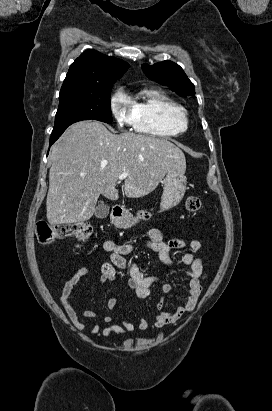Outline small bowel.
Instances as JSON below:
<instances>
[{
  "mask_svg": "<svg viewBox=\"0 0 272 411\" xmlns=\"http://www.w3.org/2000/svg\"><path fill=\"white\" fill-rule=\"evenodd\" d=\"M148 241L144 244L146 249L154 251L158 254L159 259L167 266L168 269L174 267V262L171 258V251H184L183 256L179 261V265L185 267V276L189 280L188 297L184 305L175 308L172 311L163 310V296L169 293L170 285L161 277L144 275L138 265L134 261H128L126 256L131 254L136 246L132 243L117 244L114 241L107 240L103 243V249L110 254V261L106 262L101 267V275L99 281L102 284L114 282L120 278H124L137 298L149 297L155 286H158L162 298L156 305L158 314L153 318L152 325L154 328H161L167 324L174 323L179 320L185 313L195 309L203 290V282L206 278V272L202 259L198 256V251L202 248V243L199 240L183 241L180 239H172L166 241L161 230L151 228L147 232ZM122 270L126 271L125 274ZM91 273V268L81 267L72 277L65 283L61 293V303L74 327L78 330H85L89 334L101 333L107 338L112 334L126 335L136 330L146 331L150 323L144 317H140L137 324L129 321L113 322V317L105 315L102 321L107 324L106 327L101 326L96 322L81 321L69 303L68 298L73 289L78 285L80 280ZM120 298L117 296L111 297L106 307L108 310H114L118 306ZM81 314L86 319H95L97 314L90 309H82Z\"/></svg>",
  "mask_w": 272,
  "mask_h": 411,
  "instance_id": "small-bowel-1",
  "label": "small bowel"
}]
</instances>
